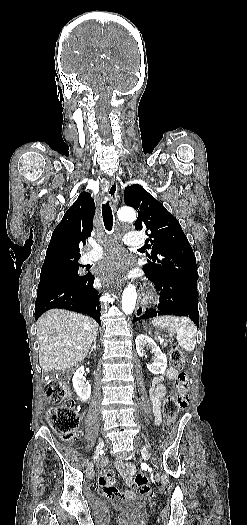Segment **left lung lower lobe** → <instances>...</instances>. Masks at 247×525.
I'll return each mask as SVG.
<instances>
[{
	"mask_svg": "<svg viewBox=\"0 0 247 525\" xmlns=\"http://www.w3.org/2000/svg\"><path fill=\"white\" fill-rule=\"evenodd\" d=\"M148 277L154 282L160 294V302L157 309H146L144 313L139 309L138 316L133 318V322L157 315H177L191 318L198 327L197 282Z\"/></svg>",
	"mask_w": 247,
	"mask_h": 525,
	"instance_id": "1",
	"label": "left lung lower lobe"
}]
</instances>
